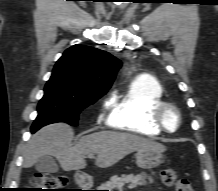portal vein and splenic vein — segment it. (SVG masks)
<instances>
[{
  "mask_svg": "<svg viewBox=\"0 0 218 191\" xmlns=\"http://www.w3.org/2000/svg\"><path fill=\"white\" fill-rule=\"evenodd\" d=\"M89 158H94V154H90V155H89Z\"/></svg>",
  "mask_w": 218,
  "mask_h": 191,
  "instance_id": "obj_1",
  "label": "portal vein and splenic vein"
}]
</instances>
